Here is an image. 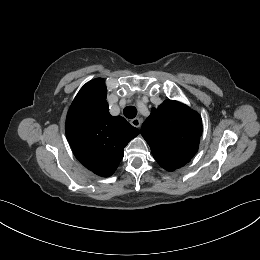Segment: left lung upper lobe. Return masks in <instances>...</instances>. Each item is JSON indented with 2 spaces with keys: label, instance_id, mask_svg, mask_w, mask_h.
I'll list each match as a JSON object with an SVG mask.
<instances>
[{
  "label": "left lung upper lobe",
  "instance_id": "5c2ea615",
  "mask_svg": "<svg viewBox=\"0 0 260 260\" xmlns=\"http://www.w3.org/2000/svg\"><path fill=\"white\" fill-rule=\"evenodd\" d=\"M141 134L154 159L167 171L183 167L196 154L202 135L200 115L183 103L166 100L144 121Z\"/></svg>",
  "mask_w": 260,
  "mask_h": 260
}]
</instances>
